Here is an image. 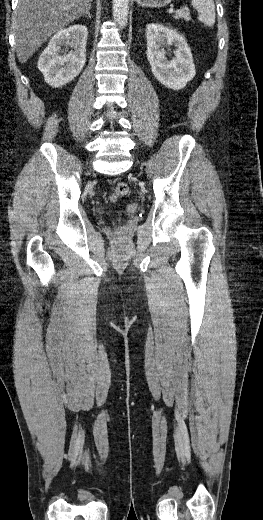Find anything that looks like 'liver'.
<instances>
[{
    "label": "liver",
    "mask_w": 263,
    "mask_h": 520,
    "mask_svg": "<svg viewBox=\"0 0 263 520\" xmlns=\"http://www.w3.org/2000/svg\"><path fill=\"white\" fill-rule=\"evenodd\" d=\"M92 0H18L15 49L25 63L47 39L86 13Z\"/></svg>",
    "instance_id": "obj_1"
}]
</instances>
